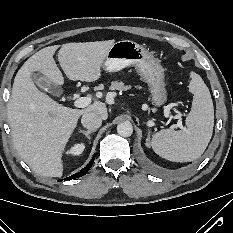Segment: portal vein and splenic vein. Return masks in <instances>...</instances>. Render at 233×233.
I'll use <instances>...</instances> for the list:
<instances>
[{
    "label": "portal vein and splenic vein",
    "instance_id": "18ae733b",
    "mask_svg": "<svg viewBox=\"0 0 233 233\" xmlns=\"http://www.w3.org/2000/svg\"><path fill=\"white\" fill-rule=\"evenodd\" d=\"M91 97H80L74 101V106L77 108H85L91 103ZM182 116L181 113H178L177 117L180 119ZM181 127V125H178Z\"/></svg>",
    "mask_w": 233,
    "mask_h": 233
}]
</instances>
